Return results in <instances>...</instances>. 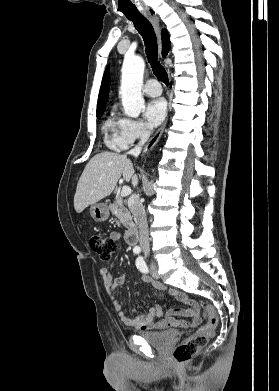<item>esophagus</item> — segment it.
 I'll return each instance as SVG.
<instances>
[{"label":"esophagus","mask_w":279,"mask_h":391,"mask_svg":"<svg viewBox=\"0 0 279 391\" xmlns=\"http://www.w3.org/2000/svg\"><path fill=\"white\" fill-rule=\"evenodd\" d=\"M150 19L153 22V24L155 25L157 32H159L160 31L159 18L155 12L151 13ZM165 126H166V122L163 123V125L156 131L154 136L146 144V146L144 147L143 153H147L149 150H151L156 145V143L159 141V139L164 131Z\"/></svg>","instance_id":"esophagus-1"}]
</instances>
